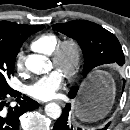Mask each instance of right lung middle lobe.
<instances>
[{"label": "right lung middle lobe", "instance_id": "dd1d6c3e", "mask_svg": "<svg viewBox=\"0 0 130 130\" xmlns=\"http://www.w3.org/2000/svg\"><path fill=\"white\" fill-rule=\"evenodd\" d=\"M43 28V25L32 26L23 39L18 42L0 39V86L9 87L7 81L11 75H14L15 59L22 43L28 36Z\"/></svg>", "mask_w": 130, "mask_h": 130}]
</instances>
